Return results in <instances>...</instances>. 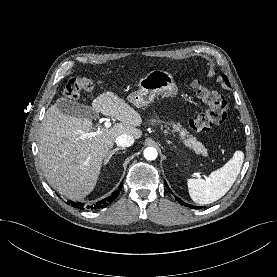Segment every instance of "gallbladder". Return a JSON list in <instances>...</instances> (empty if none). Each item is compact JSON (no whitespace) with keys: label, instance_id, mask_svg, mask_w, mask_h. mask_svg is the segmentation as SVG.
I'll return each mask as SVG.
<instances>
[{"label":"gallbladder","instance_id":"gallbladder-1","mask_svg":"<svg viewBox=\"0 0 277 277\" xmlns=\"http://www.w3.org/2000/svg\"><path fill=\"white\" fill-rule=\"evenodd\" d=\"M56 106L60 112L74 117L93 119L97 116V113L92 107L72 101L65 97L59 98L56 102Z\"/></svg>","mask_w":277,"mask_h":277}]
</instances>
